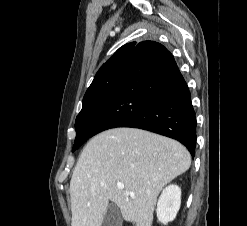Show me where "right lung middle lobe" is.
<instances>
[{"mask_svg":"<svg viewBox=\"0 0 247 226\" xmlns=\"http://www.w3.org/2000/svg\"><path fill=\"white\" fill-rule=\"evenodd\" d=\"M128 58L129 55H124L112 62L86 91L82 110L76 118V138L72 151L92 136L97 121L120 83Z\"/></svg>","mask_w":247,"mask_h":226,"instance_id":"right-lung-middle-lobe-1","label":"right lung middle lobe"}]
</instances>
